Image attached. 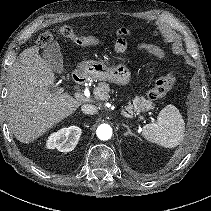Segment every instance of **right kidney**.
<instances>
[{"mask_svg": "<svg viewBox=\"0 0 211 211\" xmlns=\"http://www.w3.org/2000/svg\"><path fill=\"white\" fill-rule=\"evenodd\" d=\"M81 134L82 130L77 126L63 128L48 137L46 147L60 152H70L78 144Z\"/></svg>", "mask_w": 211, "mask_h": 211, "instance_id": "ca27d5eb", "label": "right kidney"}]
</instances>
